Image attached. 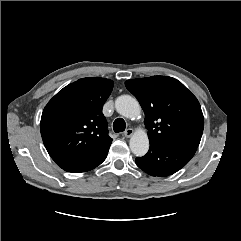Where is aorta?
<instances>
[{"instance_id": "obj_1", "label": "aorta", "mask_w": 241, "mask_h": 241, "mask_svg": "<svg viewBox=\"0 0 241 241\" xmlns=\"http://www.w3.org/2000/svg\"><path fill=\"white\" fill-rule=\"evenodd\" d=\"M115 108L120 115L130 119H136L141 113L139 102L129 95L117 97ZM129 146L134 155L138 157L144 156L149 149L147 133L144 131L135 132L130 138Z\"/></svg>"}]
</instances>
